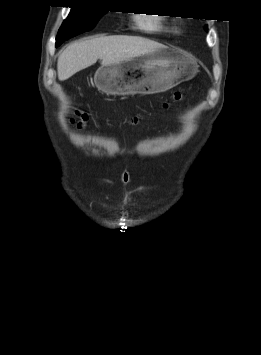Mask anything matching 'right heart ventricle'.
<instances>
[{
  "label": "right heart ventricle",
  "instance_id": "e07e8e85",
  "mask_svg": "<svg viewBox=\"0 0 261 355\" xmlns=\"http://www.w3.org/2000/svg\"><path fill=\"white\" fill-rule=\"evenodd\" d=\"M139 29L147 33H159L168 30V25L162 17L142 15L136 18Z\"/></svg>",
  "mask_w": 261,
  "mask_h": 355
}]
</instances>
